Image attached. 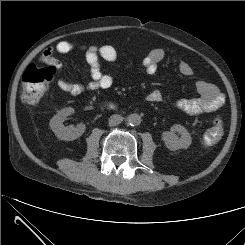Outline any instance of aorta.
<instances>
[{"mask_svg": "<svg viewBox=\"0 0 245 245\" xmlns=\"http://www.w3.org/2000/svg\"><path fill=\"white\" fill-rule=\"evenodd\" d=\"M127 122L131 126H138L141 123V117L137 113L130 114L127 117Z\"/></svg>", "mask_w": 245, "mask_h": 245, "instance_id": "aorta-1", "label": "aorta"}]
</instances>
